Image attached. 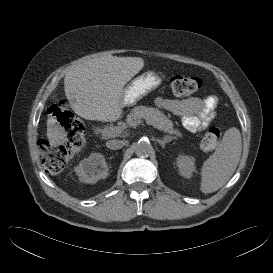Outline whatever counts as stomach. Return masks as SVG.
<instances>
[{"mask_svg":"<svg viewBox=\"0 0 273 273\" xmlns=\"http://www.w3.org/2000/svg\"><path fill=\"white\" fill-rule=\"evenodd\" d=\"M161 82V77L155 71H147L139 75L123 88L122 105H135L144 96L156 89Z\"/></svg>","mask_w":273,"mask_h":273,"instance_id":"0dacf381","label":"stomach"}]
</instances>
